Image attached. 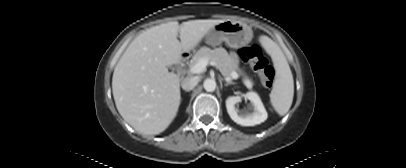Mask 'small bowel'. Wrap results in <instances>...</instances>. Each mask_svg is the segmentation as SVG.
<instances>
[{"instance_id":"obj_1","label":"small bowel","mask_w":406,"mask_h":168,"mask_svg":"<svg viewBox=\"0 0 406 168\" xmlns=\"http://www.w3.org/2000/svg\"><path fill=\"white\" fill-rule=\"evenodd\" d=\"M231 58H232L233 60H235V59H236V55H235V53H231Z\"/></svg>"}]
</instances>
